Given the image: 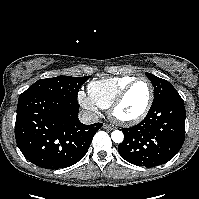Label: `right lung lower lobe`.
Returning <instances> with one entry per match:
<instances>
[{"label": "right lung lower lobe", "instance_id": "obj_1", "mask_svg": "<svg viewBox=\"0 0 199 199\" xmlns=\"http://www.w3.org/2000/svg\"><path fill=\"white\" fill-rule=\"evenodd\" d=\"M78 109V102L44 94L19 99L15 137L26 159L52 170L81 160L103 124H82Z\"/></svg>", "mask_w": 199, "mask_h": 199}]
</instances>
